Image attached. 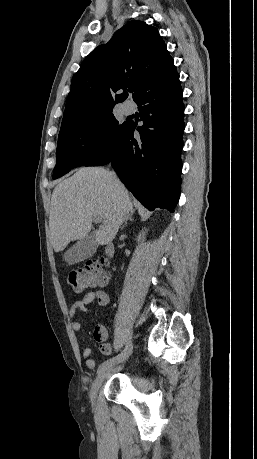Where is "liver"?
I'll list each match as a JSON object with an SVG mask.
<instances>
[{
  "mask_svg": "<svg viewBox=\"0 0 257 459\" xmlns=\"http://www.w3.org/2000/svg\"><path fill=\"white\" fill-rule=\"evenodd\" d=\"M125 186L101 167H83L53 190L49 215L51 243L55 252L89 234L92 220L102 224L95 232L97 244L111 242L125 217L133 213Z\"/></svg>",
  "mask_w": 257,
  "mask_h": 459,
  "instance_id": "1",
  "label": "liver"
}]
</instances>
